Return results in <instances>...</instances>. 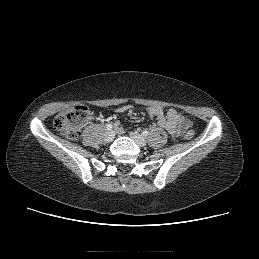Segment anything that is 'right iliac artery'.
Wrapping results in <instances>:
<instances>
[{"mask_svg": "<svg viewBox=\"0 0 259 259\" xmlns=\"http://www.w3.org/2000/svg\"><path fill=\"white\" fill-rule=\"evenodd\" d=\"M112 127H113V125H112V124H107V125H106V129H107V130H111V129H112Z\"/></svg>", "mask_w": 259, "mask_h": 259, "instance_id": "right-iliac-artery-1", "label": "right iliac artery"}]
</instances>
